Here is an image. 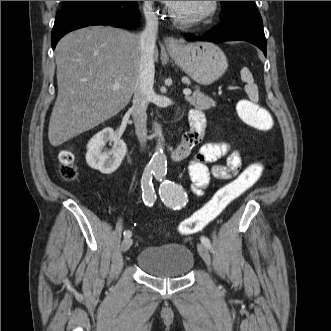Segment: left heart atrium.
<instances>
[{"label":"left heart atrium","mask_w":331,"mask_h":331,"mask_svg":"<svg viewBox=\"0 0 331 331\" xmlns=\"http://www.w3.org/2000/svg\"><path fill=\"white\" fill-rule=\"evenodd\" d=\"M163 2L166 3L169 6H172L177 1H163Z\"/></svg>","instance_id":"39dd6f15"}]
</instances>
